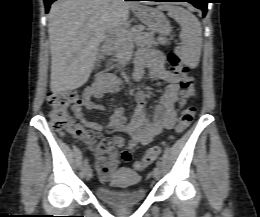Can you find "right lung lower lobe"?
Wrapping results in <instances>:
<instances>
[{
	"instance_id": "right-lung-lower-lobe-1",
	"label": "right lung lower lobe",
	"mask_w": 260,
	"mask_h": 217,
	"mask_svg": "<svg viewBox=\"0 0 260 217\" xmlns=\"http://www.w3.org/2000/svg\"><path fill=\"white\" fill-rule=\"evenodd\" d=\"M54 1H56V0H44L46 13H48L50 4L53 3ZM125 1H129V0H125Z\"/></svg>"
}]
</instances>
